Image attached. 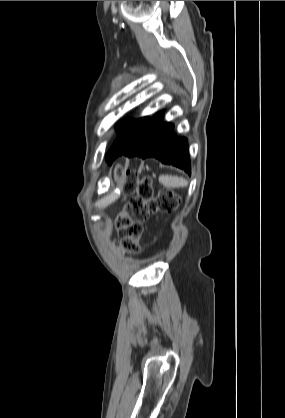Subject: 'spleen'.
I'll list each match as a JSON object with an SVG mask.
<instances>
[{"instance_id":"obj_1","label":"spleen","mask_w":285,"mask_h":418,"mask_svg":"<svg viewBox=\"0 0 285 418\" xmlns=\"http://www.w3.org/2000/svg\"><path fill=\"white\" fill-rule=\"evenodd\" d=\"M159 182L165 185L166 187L171 188L187 187L188 185L187 180L178 176L162 175L159 177Z\"/></svg>"}]
</instances>
